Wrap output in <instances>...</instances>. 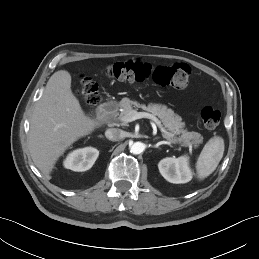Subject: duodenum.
Listing matches in <instances>:
<instances>
[{
  "mask_svg": "<svg viewBox=\"0 0 259 259\" xmlns=\"http://www.w3.org/2000/svg\"><path fill=\"white\" fill-rule=\"evenodd\" d=\"M116 103L115 102H105L101 105L99 109V115L102 119H110L115 110H116Z\"/></svg>",
  "mask_w": 259,
  "mask_h": 259,
  "instance_id": "1",
  "label": "duodenum"
}]
</instances>
